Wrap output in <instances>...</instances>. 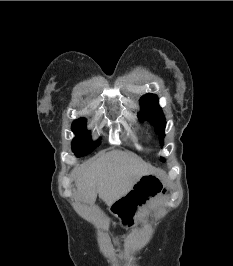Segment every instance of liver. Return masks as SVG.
I'll use <instances>...</instances> for the list:
<instances>
[{
    "label": "liver",
    "instance_id": "6515ba94",
    "mask_svg": "<svg viewBox=\"0 0 233 266\" xmlns=\"http://www.w3.org/2000/svg\"><path fill=\"white\" fill-rule=\"evenodd\" d=\"M151 173L141 159L123 151H112L73 171L77 197L93 204L97 194L108 206L132 190L141 176Z\"/></svg>",
    "mask_w": 233,
    "mask_h": 266
}]
</instances>
